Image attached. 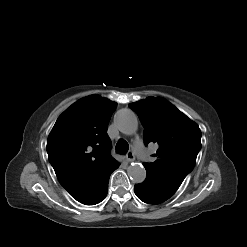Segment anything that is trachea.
<instances>
[{
    "instance_id": "1",
    "label": "trachea",
    "mask_w": 247,
    "mask_h": 247,
    "mask_svg": "<svg viewBox=\"0 0 247 247\" xmlns=\"http://www.w3.org/2000/svg\"><path fill=\"white\" fill-rule=\"evenodd\" d=\"M128 148V143L125 140L121 139L117 142L115 149L118 154H125L128 151Z\"/></svg>"
}]
</instances>
